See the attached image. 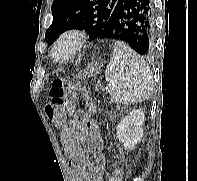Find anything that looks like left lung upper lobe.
Returning <instances> with one entry per match:
<instances>
[{
	"label": "left lung upper lobe",
	"mask_w": 197,
	"mask_h": 181,
	"mask_svg": "<svg viewBox=\"0 0 197 181\" xmlns=\"http://www.w3.org/2000/svg\"><path fill=\"white\" fill-rule=\"evenodd\" d=\"M118 0H55L53 21L45 33L48 44L70 29H85L90 40L99 39Z\"/></svg>",
	"instance_id": "5c2ea615"
}]
</instances>
